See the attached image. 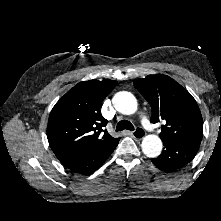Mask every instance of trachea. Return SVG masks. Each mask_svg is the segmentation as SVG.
<instances>
[{"mask_svg":"<svg viewBox=\"0 0 221 221\" xmlns=\"http://www.w3.org/2000/svg\"><path fill=\"white\" fill-rule=\"evenodd\" d=\"M123 130H134V127L131 122L127 120L119 121L116 126V131H123Z\"/></svg>","mask_w":221,"mask_h":221,"instance_id":"3493384b","label":"trachea"}]
</instances>
